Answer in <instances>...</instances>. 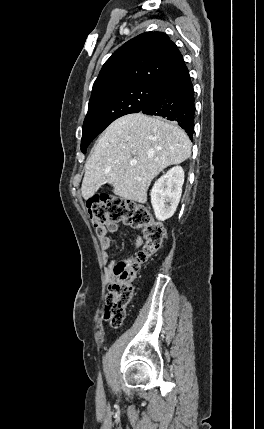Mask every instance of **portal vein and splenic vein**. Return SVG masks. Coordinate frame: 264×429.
<instances>
[{
  "instance_id": "18ae733b",
  "label": "portal vein and splenic vein",
  "mask_w": 264,
  "mask_h": 429,
  "mask_svg": "<svg viewBox=\"0 0 264 429\" xmlns=\"http://www.w3.org/2000/svg\"><path fill=\"white\" fill-rule=\"evenodd\" d=\"M137 164V161L136 160H132L131 162H130V165L131 166H135Z\"/></svg>"
}]
</instances>
